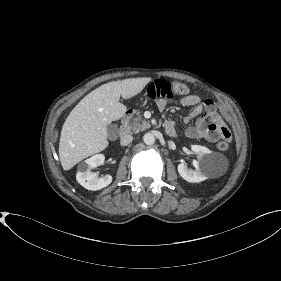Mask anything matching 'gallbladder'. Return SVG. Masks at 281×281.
<instances>
[{
	"label": "gallbladder",
	"instance_id": "bac80fb5",
	"mask_svg": "<svg viewBox=\"0 0 281 281\" xmlns=\"http://www.w3.org/2000/svg\"><path fill=\"white\" fill-rule=\"evenodd\" d=\"M117 133V127L115 125H109L108 126V134L110 136H113Z\"/></svg>",
	"mask_w": 281,
	"mask_h": 281
}]
</instances>
